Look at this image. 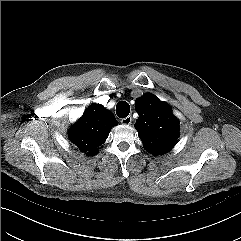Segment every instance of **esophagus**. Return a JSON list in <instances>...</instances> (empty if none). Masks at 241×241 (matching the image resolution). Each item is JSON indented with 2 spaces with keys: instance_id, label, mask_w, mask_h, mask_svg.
Segmentation results:
<instances>
[{
  "instance_id": "obj_1",
  "label": "esophagus",
  "mask_w": 241,
  "mask_h": 241,
  "mask_svg": "<svg viewBox=\"0 0 241 241\" xmlns=\"http://www.w3.org/2000/svg\"><path fill=\"white\" fill-rule=\"evenodd\" d=\"M123 125H130L132 122V117L127 116L126 118L121 119L120 121Z\"/></svg>"
}]
</instances>
